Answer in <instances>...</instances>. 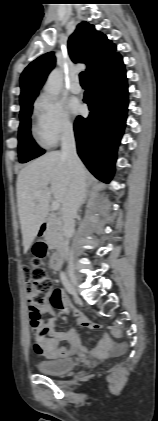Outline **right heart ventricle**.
<instances>
[{
    "mask_svg": "<svg viewBox=\"0 0 158 421\" xmlns=\"http://www.w3.org/2000/svg\"><path fill=\"white\" fill-rule=\"evenodd\" d=\"M32 134L39 145L43 147H48L52 145L50 142L47 141V139L44 137L42 130L40 128L39 122H37L32 127Z\"/></svg>",
    "mask_w": 158,
    "mask_h": 421,
    "instance_id": "right-heart-ventricle-1",
    "label": "right heart ventricle"
}]
</instances>
